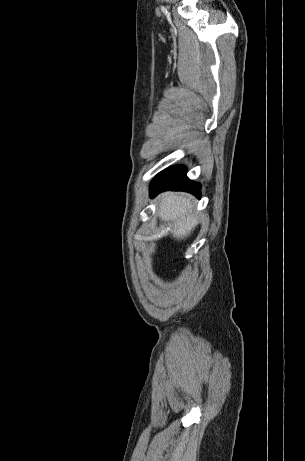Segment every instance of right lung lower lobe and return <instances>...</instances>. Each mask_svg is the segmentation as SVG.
<instances>
[{
  "label": "right lung lower lobe",
  "mask_w": 305,
  "mask_h": 461,
  "mask_svg": "<svg viewBox=\"0 0 305 461\" xmlns=\"http://www.w3.org/2000/svg\"><path fill=\"white\" fill-rule=\"evenodd\" d=\"M187 170L182 166H172L160 172L151 182L150 197L167 190L186 191L198 198L201 195V185L191 181L186 176Z\"/></svg>",
  "instance_id": "obj_1"
}]
</instances>
